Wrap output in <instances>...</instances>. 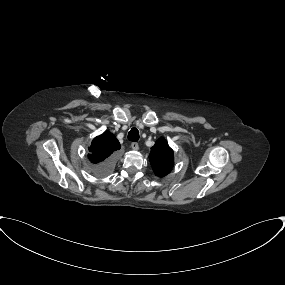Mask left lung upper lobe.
I'll return each mask as SVG.
<instances>
[{
  "label": "left lung upper lobe",
  "instance_id": "obj_1",
  "mask_svg": "<svg viewBox=\"0 0 285 285\" xmlns=\"http://www.w3.org/2000/svg\"><path fill=\"white\" fill-rule=\"evenodd\" d=\"M150 161L154 173L164 177L170 173L174 166L173 150L169 147L165 138L157 140L150 152Z\"/></svg>",
  "mask_w": 285,
  "mask_h": 285
}]
</instances>
